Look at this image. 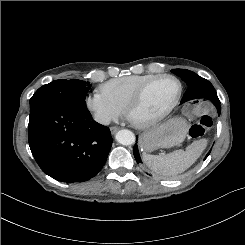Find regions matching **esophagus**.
Listing matches in <instances>:
<instances>
[{"mask_svg": "<svg viewBox=\"0 0 245 245\" xmlns=\"http://www.w3.org/2000/svg\"><path fill=\"white\" fill-rule=\"evenodd\" d=\"M118 130H119V127H117V126H113L110 128V131L112 134H115Z\"/></svg>", "mask_w": 245, "mask_h": 245, "instance_id": "1", "label": "esophagus"}]
</instances>
